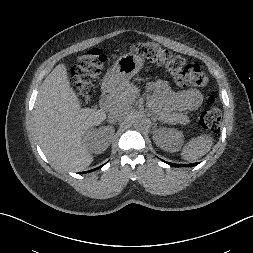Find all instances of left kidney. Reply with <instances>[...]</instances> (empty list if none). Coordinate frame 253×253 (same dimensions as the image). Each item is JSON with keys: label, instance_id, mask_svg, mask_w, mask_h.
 Wrapping results in <instances>:
<instances>
[{"label": "left kidney", "instance_id": "obj_1", "mask_svg": "<svg viewBox=\"0 0 253 253\" xmlns=\"http://www.w3.org/2000/svg\"><path fill=\"white\" fill-rule=\"evenodd\" d=\"M153 140L161 149L169 152H175L177 150V146L183 140V135L181 132L173 129L160 128L153 136Z\"/></svg>", "mask_w": 253, "mask_h": 253}]
</instances>
